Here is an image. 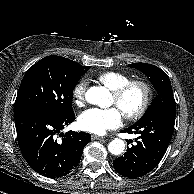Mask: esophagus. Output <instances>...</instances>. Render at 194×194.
Segmentation results:
<instances>
[{
  "label": "esophagus",
  "instance_id": "obj_1",
  "mask_svg": "<svg viewBox=\"0 0 194 194\" xmlns=\"http://www.w3.org/2000/svg\"><path fill=\"white\" fill-rule=\"evenodd\" d=\"M104 138L105 137H103V136H98V135H94V134L91 135L92 140H101V139H104Z\"/></svg>",
  "mask_w": 194,
  "mask_h": 194
}]
</instances>
